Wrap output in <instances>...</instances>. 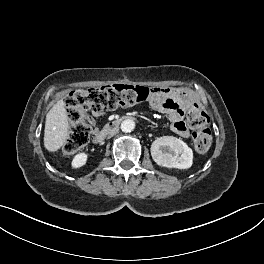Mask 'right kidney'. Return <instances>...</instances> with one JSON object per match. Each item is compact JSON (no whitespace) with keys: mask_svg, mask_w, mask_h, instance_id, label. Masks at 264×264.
Listing matches in <instances>:
<instances>
[{"mask_svg":"<svg viewBox=\"0 0 264 264\" xmlns=\"http://www.w3.org/2000/svg\"><path fill=\"white\" fill-rule=\"evenodd\" d=\"M88 155L86 153H79L74 156L71 166L73 169L80 168L84 166L87 162Z\"/></svg>","mask_w":264,"mask_h":264,"instance_id":"obj_1","label":"right kidney"}]
</instances>
